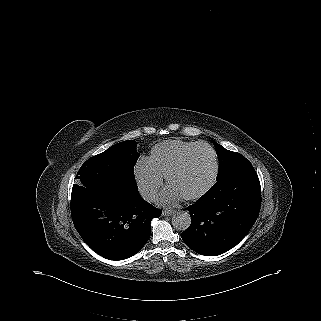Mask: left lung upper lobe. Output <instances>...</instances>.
<instances>
[{
	"label": "left lung upper lobe",
	"instance_id": "obj_1",
	"mask_svg": "<svg viewBox=\"0 0 321 321\" xmlns=\"http://www.w3.org/2000/svg\"><path fill=\"white\" fill-rule=\"evenodd\" d=\"M214 146L220 160V167L216 180L232 169L251 165L250 161L241 154L229 151L218 143H214Z\"/></svg>",
	"mask_w": 321,
	"mask_h": 321
}]
</instances>
